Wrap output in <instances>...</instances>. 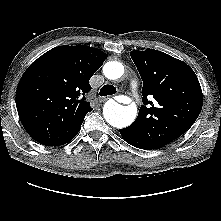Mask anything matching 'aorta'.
I'll use <instances>...</instances> for the list:
<instances>
[{
  "instance_id": "obj_1",
  "label": "aorta",
  "mask_w": 221,
  "mask_h": 221,
  "mask_svg": "<svg viewBox=\"0 0 221 221\" xmlns=\"http://www.w3.org/2000/svg\"><path fill=\"white\" fill-rule=\"evenodd\" d=\"M106 78L116 80L123 76L124 66L118 61L107 62L103 67ZM137 109L134 105L122 106L110 99L103 107V115L107 123L116 128L128 127L136 117Z\"/></svg>"
}]
</instances>
